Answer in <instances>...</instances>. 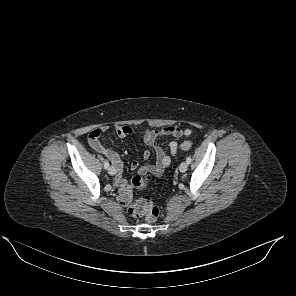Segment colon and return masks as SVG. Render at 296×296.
I'll return each instance as SVG.
<instances>
[{"label": "colon", "mask_w": 296, "mask_h": 296, "mask_svg": "<svg viewBox=\"0 0 296 296\" xmlns=\"http://www.w3.org/2000/svg\"><path fill=\"white\" fill-rule=\"evenodd\" d=\"M191 141H184L180 144L179 148L182 151H188L192 148ZM152 175L150 173H138L132 179L131 184H126L118 192L119 202L127 207L128 213L134 217H143L147 222H155L159 216V210L154 205L152 200L143 196L136 201H133V188H143L150 180Z\"/></svg>", "instance_id": "5ec220e1"}]
</instances>
